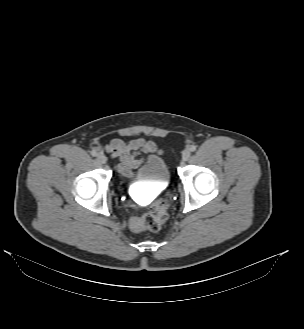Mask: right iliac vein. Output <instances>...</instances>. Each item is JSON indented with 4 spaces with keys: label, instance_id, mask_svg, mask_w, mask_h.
<instances>
[{
    "label": "right iliac vein",
    "instance_id": "right-iliac-vein-1",
    "mask_svg": "<svg viewBox=\"0 0 304 329\" xmlns=\"http://www.w3.org/2000/svg\"><path fill=\"white\" fill-rule=\"evenodd\" d=\"M97 160H98L100 163L105 164L106 161H107V158H106V156H105L103 153H99V154L97 155Z\"/></svg>",
    "mask_w": 304,
    "mask_h": 329
}]
</instances>
